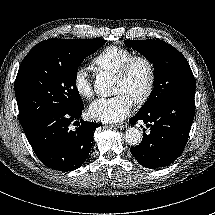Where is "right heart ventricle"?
Instances as JSON below:
<instances>
[{
	"label": "right heart ventricle",
	"instance_id": "e07e8e85",
	"mask_svg": "<svg viewBox=\"0 0 215 215\" xmlns=\"http://www.w3.org/2000/svg\"><path fill=\"white\" fill-rule=\"evenodd\" d=\"M134 51L123 45H109L103 48L91 61V68L98 73H116L119 67Z\"/></svg>",
	"mask_w": 215,
	"mask_h": 215
}]
</instances>
